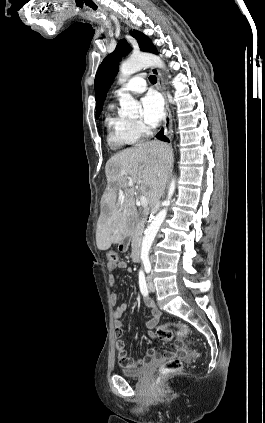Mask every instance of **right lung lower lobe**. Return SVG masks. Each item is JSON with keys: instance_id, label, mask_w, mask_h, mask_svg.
Instances as JSON below:
<instances>
[{"instance_id": "98d812e1", "label": "right lung lower lobe", "mask_w": 265, "mask_h": 423, "mask_svg": "<svg viewBox=\"0 0 265 423\" xmlns=\"http://www.w3.org/2000/svg\"><path fill=\"white\" fill-rule=\"evenodd\" d=\"M156 137L159 139V140H162V141H167V142H169V139L165 136V135H163V129L156 135Z\"/></svg>"}]
</instances>
